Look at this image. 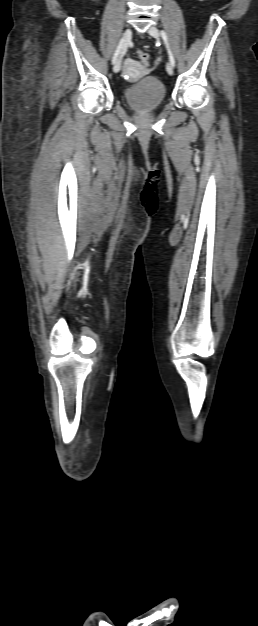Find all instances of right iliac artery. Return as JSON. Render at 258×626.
Listing matches in <instances>:
<instances>
[{
    "label": "right iliac artery",
    "instance_id": "right-iliac-artery-1",
    "mask_svg": "<svg viewBox=\"0 0 258 626\" xmlns=\"http://www.w3.org/2000/svg\"><path fill=\"white\" fill-rule=\"evenodd\" d=\"M122 46H123V39L120 40V42H119V44H118V46H117V48L115 50V53H114V55L112 57V64H115V62L117 61V58H118V56H119V54L121 52Z\"/></svg>",
    "mask_w": 258,
    "mask_h": 626
}]
</instances>
